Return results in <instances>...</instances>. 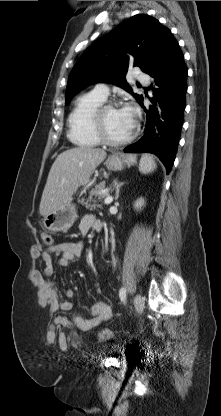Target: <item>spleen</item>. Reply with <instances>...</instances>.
<instances>
[{
    "mask_svg": "<svg viewBox=\"0 0 221 416\" xmlns=\"http://www.w3.org/2000/svg\"><path fill=\"white\" fill-rule=\"evenodd\" d=\"M157 165L155 163V160L150 154H143L140 163H139V171L142 174H148L151 173L156 169Z\"/></svg>",
    "mask_w": 221,
    "mask_h": 416,
    "instance_id": "obj_1",
    "label": "spleen"
}]
</instances>
